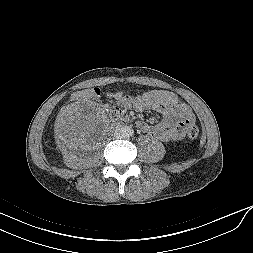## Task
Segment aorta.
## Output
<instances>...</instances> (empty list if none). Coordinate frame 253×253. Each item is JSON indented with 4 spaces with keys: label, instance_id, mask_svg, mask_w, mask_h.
<instances>
[{
    "label": "aorta",
    "instance_id": "aorta-1",
    "mask_svg": "<svg viewBox=\"0 0 253 253\" xmlns=\"http://www.w3.org/2000/svg\"><path fill=\"white\" fill-rule=\"evenodd\" d=\"M119 132L120 135L124 138H128L133 135V129L130 126H122Z\"/></svg>",
    "mask_w": 253,
    "mask_h": 253
}]
</instances>
